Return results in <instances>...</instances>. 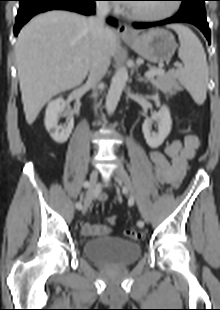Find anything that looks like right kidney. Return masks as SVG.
<instances>
[{
    "label": "right kidney",
    "instance_id": "1",
    "mask_svg": "<svg viewBox=\"0 0 220 310\" xmlns=\"http://www.w3.org/2000/svg\"><path fill=\"white\" fill-rule=\"evenodd\" d=\"M62 113L67 115V125L64 126L58 125V118ZM44 123L46 130L56 143L62 144L67 141L74 127V118L66 111V102L62 97L48 103Z\"/></svg>",
    "mask_w": 220,
    "mask_h": 310
}]
</instances>
